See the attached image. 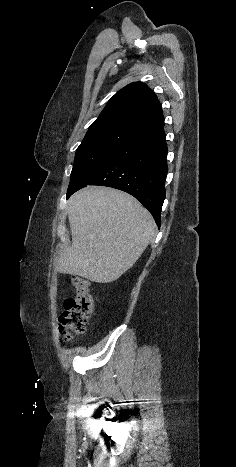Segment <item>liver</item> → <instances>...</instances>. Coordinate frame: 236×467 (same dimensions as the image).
<instances>
[{"mask_svg":"<svg viewBox=\"0 0 236 467\" xmlns=\"http://www.w3.org/2000/svg\"><path fill=\"white\" fill-rule=\"evenodd\" d=\"M72 244L59 256L57 271L110 283L130 269L153 238L155 221L133 196L91 186L68 201Z\"/></svg>","mask_w":236,"mask_h":467,"instance_id":"6515ba94","label":"liver"}]
</instances>
